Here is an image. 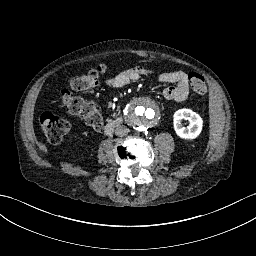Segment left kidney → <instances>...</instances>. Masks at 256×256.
I'll return each mask as SVG.
<instances>
[{
  "mask_svg": "<svg viewBox=\"0 0 256 256\" xmlns=\"http://www.w3.org/2000/svg\"><path fill=\"white\" fill-rule=\"evenodd\" d=\"M188 120L189 126L187 129L182 127V120ZM203 118L191 109H178L173 115V127L176 135L183 140L196 139L203 128Z\"/></svg>",
  "mask_w": 256,
  "mask_h": 256,
  "instance_id": "5707ae66",
  "label": "left kidney"
}]
</instances>
